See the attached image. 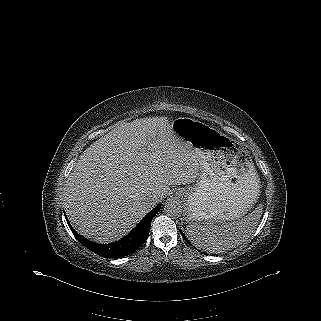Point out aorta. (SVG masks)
<instances>
[{
	"label": "aorta",
	"instance_id": "762f6f07",
	"mask_svg": "<svg viewBox=\"0 0 321 321\" xmlns=\"http://www.w3.org/2000/svg\"><path fill=\"white\" fill-rule=\"evenodd\" d=\"M182 206L177 200H168L164 205V212L166 215L178 218L182 214Z\"/></svg>",
	"mask_w": 321,
	"mask_h": 321
}]
</instances>
